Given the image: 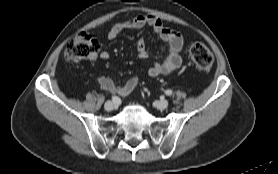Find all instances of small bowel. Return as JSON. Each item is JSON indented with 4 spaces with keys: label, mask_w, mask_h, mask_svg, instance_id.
<instances>
[{
    "label": "small bowel",
    "mask_w": 278,
    "mask_h": 174,
    "mask_svg": "<svg viewBox=\"0 0 278 174\" xmlns=\"http://www.w3.org/2000/svg\"><path fill=\"white\" fill-rule=\"evenodd\" d=\"M146 26L150 27L166 46L165 58L162 62L153 64L148 69V75L150 77H157L169 75L177 71L182 65L180 53L183 48V37L178 31L166 27L159 18L153 15H138L134 18L115 23L108 32V38L113 40L123 30L140 29ZM136 50L137 56L140 59H146L152 54L151 49L147 47L143 39L138 40ZM109 57L110 54L107 51H102L95 53L90 59L108 60ZM97 83L103 90L120 96H127L137 87L139 78L131 77L123 85H120L107 76H100L97 78Z\"/></svg>",
    "instance_id": "c3829d8e"
}]
</instances>
